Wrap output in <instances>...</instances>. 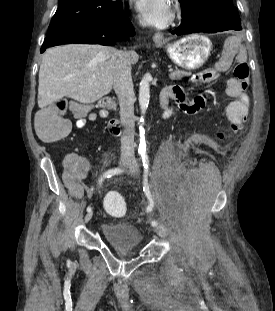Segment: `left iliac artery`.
Listing matches in <instances>:
<instances>
[{
    "mask_svg": "<svg viewBox=\"0 0 275 311\" xmlns=\"http://www.w3.org/2000/svg\"><path fill=\"white\" fill-rule=\"evenodd\" d=\"M142 161L144 166V180H143V191L145 192L147 198L149 199V206L147 207V211L151 212L154 207V201L151 195V192L149 190L148 186V172H149V158L147 154H142ZM152 226H157V221L153 220L151 221Z\"/></svg>",
    "mask_w": 275,
    "mask_h": 311,
    "instance_id": "1",
    "label": "left iliac artery"
}]
</instances>
